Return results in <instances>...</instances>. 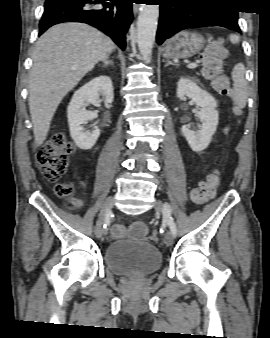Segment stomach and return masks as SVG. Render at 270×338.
Returning a JSON list of instances; mask_svg holds the SVG:
<instances>
[{"instance_id":"0dacf381","label":"stomach","mask_w":270,"mask_h":338,"mask_svg":"<svg viewBox=\"0 0 270 338\" xmlns=\"http://www.w3.org/2000/svg\"><path fill=\"white\" fill-rule=\"evenodd\" d=\"M205 39L198 33L181 31L167 40L162 48L167 59H186L200 52L205 46Z\"/></svg>"}]
</instances>
